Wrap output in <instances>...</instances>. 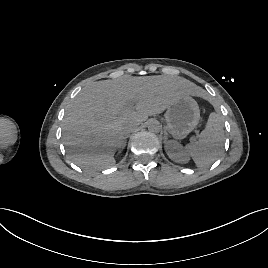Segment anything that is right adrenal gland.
<instances>
[{"label": "right adrenal gland", "mask_w": 268, "mask_h": 268, "mask_svg": "<svg viewBox=\"0 0 268 268\" xmlns=\"http://www.w3.org/2000/svg\"><path fill=\"white\" fill-rule=\"evenodd\" d=\"M125 146H126V138L124 139L123 144L121 146V151L124 149Z\"/></svg>", "instance_id": "2a0ac1e0"}]
</instances>
